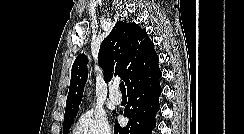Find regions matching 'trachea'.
I'll use <instances>...</instances> for the list:
<instances>
[{
  "instance_id": "trachea-1",
  "label": "trachea",
  "mask_w": 244,
  "mask_h": 134,
  "mask_svg": "<svg viewBox=\"0 0 244 134\" xmlns=\"http://www.w3.org/2000/svg\"><path fill=\"white\" fill-rule=\"evenodd\" d=\"M120 91L122 94H125L126 93V88H125V85L123 82L120 83Z\"/></svg>"
}]
</instances>
